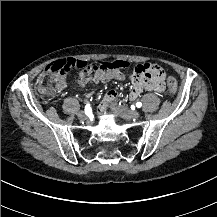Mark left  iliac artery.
Here are the masks:
<instances>
[{
    "instance_id": "44dca946",
    "label": "left iliac artery",
    "mask_w": 217,
    "mask_h": 217,
    "mask_svg": "<svg viewBox=\"0 0 217 217\" xmlns=\"http://www.w3.org/2000/svg\"><path fill=\"white\" fill-rule=\"evenodd\" d=\"M136 106H137L138 108H140V107L142 106V103H141V102H137V103H136Z\"/></svg>"
}]
</instances>
